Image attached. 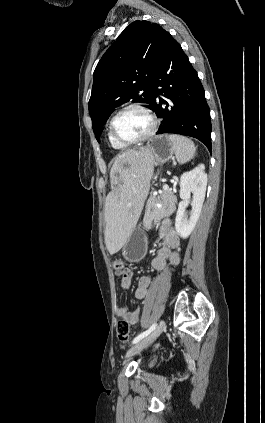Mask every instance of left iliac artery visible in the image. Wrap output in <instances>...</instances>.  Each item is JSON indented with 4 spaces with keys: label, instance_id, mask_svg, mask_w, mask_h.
Returning <instances> with one entry per match:
<instances>
[{
    "label": "left iliac artery",
    "instance_id": "44dca946",
    "mask_svg": "<svg viewBox=\"0 0 265 423\" xmlns=\"http://www.w3.org/2000/svg\"><path fill=\"white\" fill-rule=\"evenodd\" d=\"M156 325H157L156 323L152 324V326L149 329H147L146 331L142 332L137 337H135L132 341V344H135L139 342L140 340H142L144 337L148 336L156 328Z\"/></svg>",
    "mask_w": 265,
    "mask_h": 423
}]
</instances>
